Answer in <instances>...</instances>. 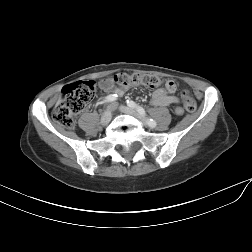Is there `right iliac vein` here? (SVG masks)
Listing matches in <instances>:
<instances>
[{
    "mask_svg": "<svg viewBox=\"0 0 252 252\" xmlns=\"http://www.w3.org/2000/svg\"><path fill=\"white\" fill-rule=\"evenodd\" d=\"M111 118H112V110L111 108H108L101 117V125L106 126L107 124H109Z\"/></svg>",
    "mask_w": 252,
    "mask_h": 252,
    "instance_id": "1",
    "label": "right iliac vein"
}]
</instances>
